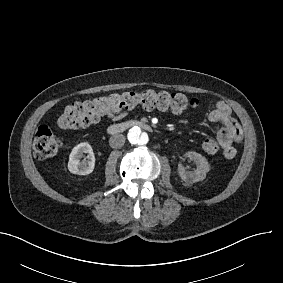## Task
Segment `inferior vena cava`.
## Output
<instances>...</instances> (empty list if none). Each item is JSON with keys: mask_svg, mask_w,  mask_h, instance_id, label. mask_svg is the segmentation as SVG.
<instances>
[{"mask_svg": "<svg viewBox=\"0 0 283 283\" xmlns=\"http://www.w3.org/2000/svg\"><path fill=\"white\" fill-rule=\"evenodd\" d=\"M125 143V136L123 134H114L109 139V145L114 149L123 147Z\"/></svg>", "mask_w": 283, "mask_h": 283, "instance_id": "1", "label": "inferior vena cava"}]
</instances>
